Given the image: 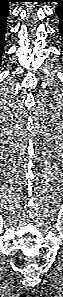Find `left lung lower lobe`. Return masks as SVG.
I'll return each instance as SVG.
<instances>
[{
	"label": "left lung lower lobe",
	"instance_id": "0a47b994",
	"mask_svg": "<svg viewBox=\"0 0 63 297\" xmlns=\"http://www.w3.org/2000/svg\"><path fill=\"white\" fill-rule=\"evenodd\" d=\"M54 2H58L56 13L59 17V31L63 37V0H54Z\"/></svg>",
	"mask_w": 63,
	"mask_h": 297
}]
</instances>
